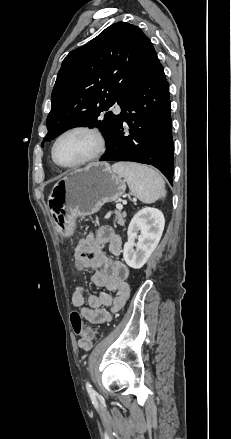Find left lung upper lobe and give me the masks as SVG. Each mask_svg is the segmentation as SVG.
<instances>
[{"label": "left lung upper lobe", "mask_w": 231, "mask_h": 439, "mask_svg": "<svg viewBox=\"0 0 231 439\" xmlns=\"http://www.w3.org/2000/svg\"><path fill=\"white\" fill-rule=\"evenodd\" d=\"M152 50L149 38L137 26L118 22L71 51L52 91L42 146L76 126L98 127L108 142L118 118L108 109L115 102L123 104Z\"/></svg>", "instance_id": "5c2ea615"}]
</instances>
